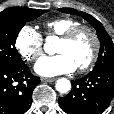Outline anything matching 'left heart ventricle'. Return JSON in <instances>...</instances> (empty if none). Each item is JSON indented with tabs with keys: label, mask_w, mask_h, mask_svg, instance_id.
Wrapping results in <instances>:
<instances>
[{
	"label": "left heart ventricle",
	"mask_w": 114,
	"mask_h": 114,
	"mask_svg": "<svg viewBox=\"0 0 114 114\" xmlns=\"http://www.w3.org/2000/svg\"><path fill=\"white\" fill-rule=\"evenodd\" d=\"M93 50V40L88 33L79 34L73 41L66 42L63 40H59L56 52L65 53L69 55L75 64L80 66L85 63Z\"/></svg>",
	"instance_id": "left-heart-ventricle-1"
}]
</instances>
